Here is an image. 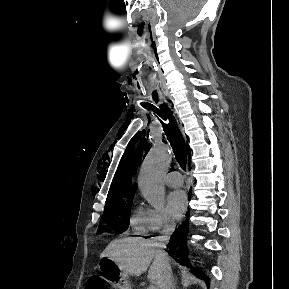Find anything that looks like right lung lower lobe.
<instances>
[{
  "label": "right lung lower lobe",
  "mask_w": 289,
  "mask_h": 289,
  "mask_svg": "<svg viewBox=\"0 0 289 289\" xmlns=\"http://www.w3.org/2000/svg\"><path fill=\"white\" fill-rule=\"evenodd\" d=\"M189 231V223L188 219L178 228V230L174 231L171 236L170 243L167 245L169 247L170 252L169 255L172 256L177 262L181 265L190 266L187 260L188 249L186 244V237ZM198 275L202 278L209 281L207 277L201 275L197 268L192 267Z\"/></svg>",
  "instance_id": "1"
}]
</instances>
